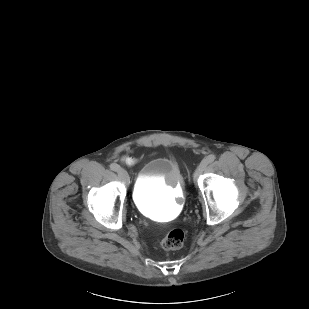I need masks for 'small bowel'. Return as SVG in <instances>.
<instances>
[{
	"label": "small bowel",
	"instance_id": "obj_1",
	"mask_svg": "<svg viewBox=\"0 0 309 309\" xmlns=\"http://www.w3.org/2000/svg\"><path fill=\"white\" fill-rule=\"evenodd\" d=\"M122 161H124V162L127 163L128 165H131V164H133V163L135 162L134 159L131 158V157H123V158H122Z\"/></svg>",
	"mask_w": 309,
	"mask_h": 309
}]
</instances>
